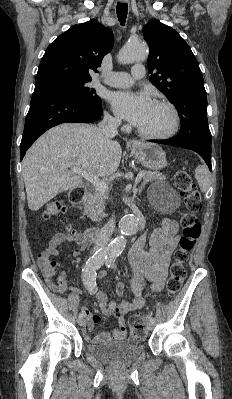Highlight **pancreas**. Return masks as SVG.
I'll return each mask as SVG.
<instances>
[{
    "mask_svg": "<svg viewBox=\"0 0 232 399\" xmlns=\"http://www.w3.org/2000/svg\"><path fill=\"white\" fill-rule=\"evenodd\" d=\"M140 172H146V170H140ZM143 180L142 186H145V184L154 182V180H166V176H162L161 172H146L145 176H143ZM105 200H107V194L100 192V190H94L92 194H88L84 201L85 215H89L92 221H101L102 217L105 215Z\"/></svg>",
    "mask_w": 232,
    "mask_h": 399,
    "instance_id": "1",
    "label": "pancreas"
}]
</instances>
